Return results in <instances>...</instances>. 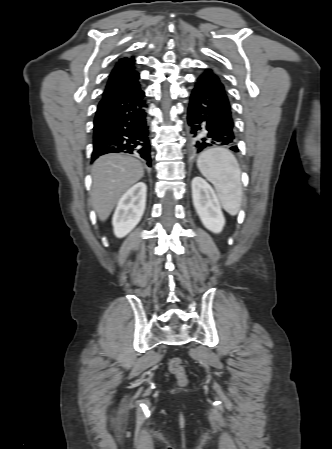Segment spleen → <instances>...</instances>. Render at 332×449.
I'll return each instance as SVG.
<instances>
[{
  "label": "spleen",
  "instance_id": "obj_1",
  "mask_svg": "<svg viewBox=\"0 0 332 449\" xmlns=\"http://www.w3.org/2000/svg\"><path fill=\"white\" fill-rule=\"evenodd\" d=\"M197 167L217 192L223 208L232 216L242 201L241 170L235 156L225 148H212L202 152Z\"/></svg>",
  "mask_w": 332,
  "mask_h": 449
}]
</instances>
